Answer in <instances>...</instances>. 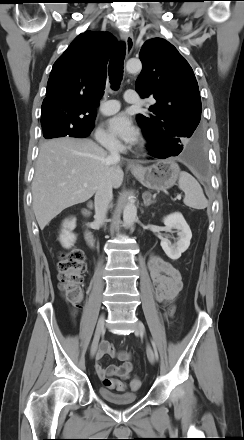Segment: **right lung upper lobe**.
Returning <instances> with one entry per match:
<instances>
[{"label":"right lung upper lobe","mask_w":244,"mask_h":440,"mask_svg":"<svg viewBox=\"0 0 244 440\" xmlns=\"http://www.w3.org/2000/svg\"><path fill=\"white\" fill-rule=\"evenodd\" d=\"M115 45L116 39L108 32L86 31L74 39L53 65L41 121L60 120L81 126L95 120Z\"/></svg>","instance_id":"cb5924a9"}]
</instances>
